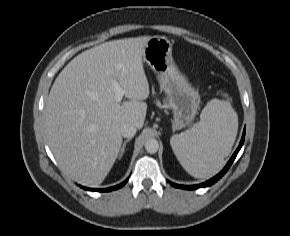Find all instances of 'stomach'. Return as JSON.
I'll list each match as a JSON object with an SVG mask.
<instances>
[{"label": "stomach", "instance_id": "stomach-1", "mask_svg": "<svg viewBox=\"0 0 290 236\" xmlns=\"http://www.w3.org/2000/svg\"><path fill=\"white\" fill-rule=\"evenodd\" d=\"M143 60L151 67L173 113L172 128L182 129L195 118L200 95L182 74L172 57V44L165 36H152L146 43Z\"/></svg>", "mask_w": 290, "mask_h": 236}]
</instances>
